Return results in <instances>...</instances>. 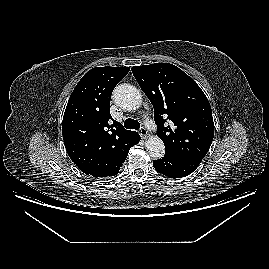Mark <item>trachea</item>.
Listing matches in <instances>:
<instances>
[{
    "instance_id": "trachea-1",
    "label": "trachea",
    "mask_w": 269,
    "mask_h": 269,
    "mask_svg": "<svg viewBox=\"0 0 269 269\" xmlns=\"http://www.w3.org/2000/svg\"><path fill=\"white\" fill-rule=\"evenodd\" d=\"M124 126L127 129L138 130L140 128V123L137 120H134L132 118H128V119L125 120Z\"/></svg>"
}]
</instances>
